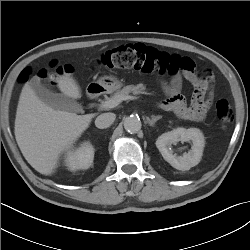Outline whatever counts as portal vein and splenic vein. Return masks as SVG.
I'll return each mask as SVG.
<instances>
[{
    "label": "portal vein and splenic vein",
    "mask_w": 250,
    "mask_h": 250,
    "mask_svg": "<svg viewBox=\"0 0 250 250\" xmlns=\"http://www.w3.org/2000/svg\"><path fill=\"white\" fill-rule=\"evenodd\" d=\"M135 99H136V97L131 96V95H127V96L120 97V98L108 99V100L102 102L100 107L105 108V109L114 108V107L118 106L124 100H135Z\"/></svg>",
    "instance_id": "obj_1"
}]
</instances>
